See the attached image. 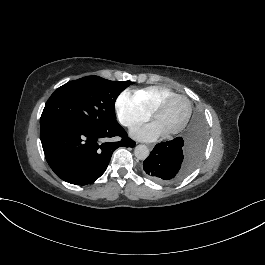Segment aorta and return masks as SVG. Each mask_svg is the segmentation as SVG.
<instances>
[{"label": "aorta", "instance_id": "762f6f07", "mask_svg": "<svg viewBox=\"0 0 265 265\" xmlns=\"http://www.w3.org/2000/svg\"><path fill=\"white\" fill-rule=\"evenodd\" d=\"M134 155L139 160H145L149 156V149L146 145H138L135 147Z\"/></svg>", "mask_w": 265, "mask_h": 265}]
</instances>
